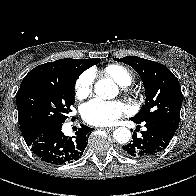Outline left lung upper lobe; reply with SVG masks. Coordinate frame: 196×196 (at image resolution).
I'll return each mask as SVG.
<instances>
[{
	"instance_id": "obj_1",
	"label": "left lung upper lobe",
	"mask_w": 196,
	"mask_h": 196,
	"mask_svg": "<svg viewBox=\"0 0 196 196\" xmlns=\"http://www.w3.org/2000/svg\"><path fill=\"white\" fill-rule=\"evenodd\" d=\"M115 60L134 68L145 87V104L132 118L137 121L156 120L176 131L180 121L183 95L174 74L158 62L136 56Z\"/></svg>"
}]
</instances>
